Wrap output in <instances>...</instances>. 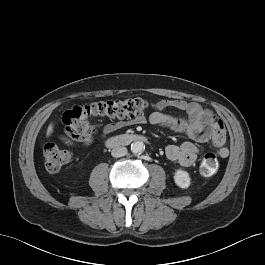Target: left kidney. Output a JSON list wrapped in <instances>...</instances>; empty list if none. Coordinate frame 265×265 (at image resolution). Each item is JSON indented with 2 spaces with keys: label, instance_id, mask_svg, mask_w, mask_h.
Returning <instances> with one entry per match:
<instances>
[{
  "label": "left kidney",
  "instance_id": "1",
  "mask_svg": "<svg viewBox=\"0 0 265 265\" xmlns=\"http://www.w3.org/2000/svg\"><path fill=\"white\" fill-rule=\"evenodd\" d=\"M174 181L177 186L185 189L190 186L191 179L188 172L183 169H178L174 174Z\"/></svg>",
  "mask_w": 265,
  "mask_h": 265
}]
</instances>
